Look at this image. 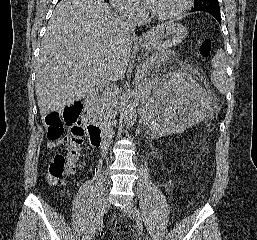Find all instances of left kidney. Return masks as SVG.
I'll use <instances>...</instances> for the list:
<instances>
[{
    "instance_id": "5707ae66",
    "label": "left kidney",
    "mask_w": 257,
    "mask_h": 240,
    "mask_svg": "<svg viewBox=\"0 0 257 240\" xmlns=\"http://www.w3.org/2000/svg\"><path fill=\"white\" fill-rule=\"evenodd\" d=\"M144 105L149 127L163 136L181 133L202 121L207 97L191 76L175 72L147 85Z\"/></svg>"
}]
</instances>
